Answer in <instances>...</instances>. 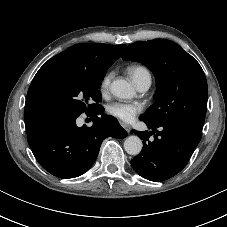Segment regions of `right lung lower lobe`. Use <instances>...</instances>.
<instances>
[{
  "label": "right lung lower lobe",
  "mask_w": 227,
  "mask_h": 227,
  "mask_svg": "<svg viewBox=\"0 0 227 227\" xmlns=\"http://www.w3.org/2000/svg\"><path fill=\"white\" fill-rule=\"evenodd\" d=\"M103 112L104 108L99 105L85 113L93 119L91 127H78L76 119L79 115L59 116L51 117L27 132L29 146L39 164L63 179L85 173L96 160L105 138L127 135L115 117Z\"/></svg>",
  "instance_id": "98d812e1"
}]
</instances>
